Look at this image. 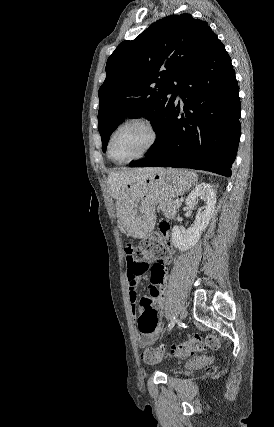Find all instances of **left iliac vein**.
Segmentation results:
<instances>
[{"label": "left iliac vein", "mask_w": 274, "mask_h": 427, "mask_svg": "<svg viewBox=\"0 0 274 427\" xmlns=\"http://www.w3.org/2000/svg\"><path fill=\"white\" fill-rule=\"evenodd\" d=\"M187 317V310L185 308H182L180 310V322H183Z\"/></svg>", "instance_id": "1"}]
</instances>
